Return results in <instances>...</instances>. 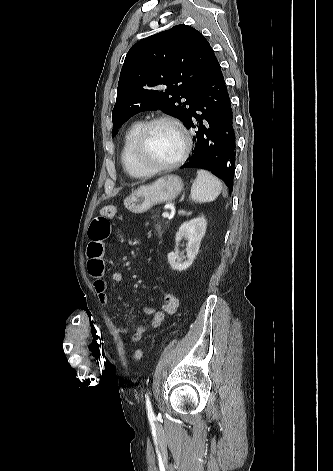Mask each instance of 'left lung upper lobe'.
Listing matches in <instances>:
<instances>
[{"label":"left lung upper lobe","instance_id":"1","mask_svg":"<svg viewBox=\"0 0 333 471\" xmlns=\"http://www.w3.org/2000/svg\"><path fill=\"white\" fill-rule=\"evenodd\" d=\"M215 61L205 37L186 25H176L133 45L118 82L113 136L125 121L147 110L159 109L187 126L197 93Z\"/></svg>","mask_w":333,"mask_h":471}]
</instances>
